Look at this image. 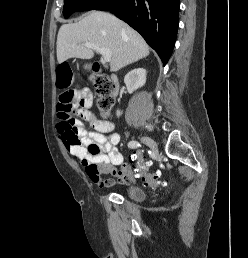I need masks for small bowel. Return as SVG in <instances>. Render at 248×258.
I'll use <instances>...</instances> for the list:
<instances>
[{
    "label": "small bowel",
    "instance_id": "1",
    "mask_svg": "<svg viewBox=\"0 0 248 258\" xmlns=\"http://www.w3.org/2000/svg\"><path fill=\"white\" fill-rule=\"evenodd\" d=\"M92 104L93 94L89 88L84 87L76 92V105L74 110L77 116L85 120L93 129V131H89L79 120L73 122L81 144L78 145V143L70 142L67 139L66 132L62 131L58 126L57 131L63 139L65 148L72 155L79 158L85 166L92 163L101 164L104 168L109 166H120V169L113 172L114 176L117 178L116 181L96 180V185L100 188L112 187L116 184L128 185L134 182L139 175L129 173L130 165L123 162V156L117 148L120 141V135L114 131V123L108 120L99 119L90 110ZM92 142L97 143L102 151L101 154L94 158L89 157L85 149V146Z\"/></svg>",
    "mask_w": 248,
    "mask_h": 258
}]
</instances>
